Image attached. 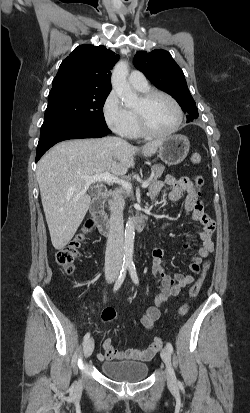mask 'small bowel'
<instances>
[{
    "instance_id": "obj_1",
    "label": "small bowel",
    "mask_w": 250,
    "mask_h": 413,
    "mask_svg": "<svg viewBox=\"0 0 250 413\" xmlns=\"http://www.w3.org/2000/svg\"><path fill=\"white\" fill-rule=\"evenodd\" d=\"M165 187L168 188L167 197L171 201L178 200L187 193L184 203L185 214L191 220L200 222L203 225V229L198 233L201 241L198 253L192 257L191 262L188 265L191 272L198 273L201 269L202 260L207 258L213 251L214 244L212 235L215 229V224L205 213L202 203L198 200L192 189V184L189 178H176L172 175H167L164 180L152 184L150 187V196L152 198L156 197ZM167 226L168 224H165L162 228ZM185 247H190V244H187ZM151 271L156 278L160 294L155 300V305L149 307L141 318L142 326L148 330L153 328L154 323L160 317L159 306L169 297L178 295L184 287L194 281V277L190 274L171 273L163 261V250L158 246L154 248L152 253ZM102 346L104 352L98 354L99 360L148 361L159 350L154 348L151 344L142 349L115 350L111 340L108 338L103 341Z\"/></svg>"
}]
</instances>
